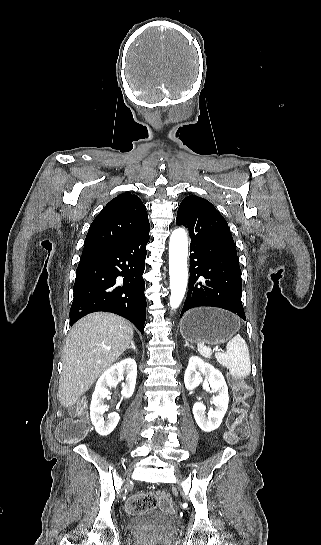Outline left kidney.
Segmentation results:
<instances>
[{"instance_id": "left-kidney-1", "label": "left kidney", "mask_w": 321, "mask_h": 545, "mask_svg": "<svg viewBox=\"0 0 321 545\" xmlns=\"http://www.w3.org/2000/svg\"><path fill=\"white\" fill-rule=\"evenodd\" d=\"M204 379L208 381L211 389L217 391L218 395L212 397L210 403L215 405L214 411L208 413V417L205 415L206 407L203 403H195L193 405L194 419L204 431V433H211L218 429L222 423V419L228 409L229 395L226 381L217 369H214L209 363H204L199 357H190L189 365L185 371L184 383L188 391H194Z\"/></svg>"}]
</instances>
